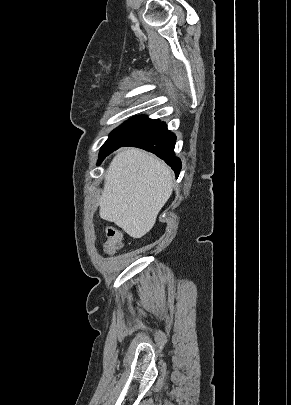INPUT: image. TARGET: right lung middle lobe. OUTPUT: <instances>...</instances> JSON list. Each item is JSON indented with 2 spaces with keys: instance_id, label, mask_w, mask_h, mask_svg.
I'll return each instance as SVG.
<instances>
[{
  "instance_id": "right-lung-middle-lobe-1",
  "label": "right lung middle lobe",
  "mask_w": 291,
  "mask_h": 405,
  "mask_svg": "<svg viewBox=\"0 0 291 405\" xmlns=\"http://www.w3.org/2000/svg\"><path fill=\"white\" fill-rule=\"evenodd\" d=\"M159 120H152L144 116H136L116 128L101 148L99 162L109 153L122 147L128 141L158 124Z\"/></svg>"
}]
</instances>
